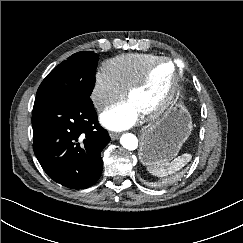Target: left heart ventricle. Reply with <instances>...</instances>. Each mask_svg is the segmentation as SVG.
Instances as JSON below:
<instances>
[{
	"instance_id": "b2bd125f",
	"label": "left heart ventricle",
	"mask_w": 243,
	"mask_h": 243,
	"mask_svg": "<svg viewBox=\"0 0 243 243\" xmlns=\"http://www.w3.org/2000/svg\"><path fill=\"white\" fill-rule=\"evenodd\" d=\"M173 76V67L169 63H160L152 71L144 87L137 90L129 101L143 112L155 106L166 93Z\"/></svg>"
}]
</instances>
